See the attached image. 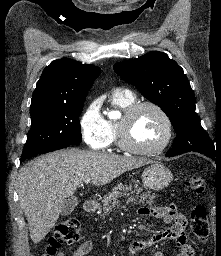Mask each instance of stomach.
Here are the masks:
<instances>
[{"mask_svg": "<svg viewBox=\"0 0 221 256\" xmlns=\"http://www.w3.org/2000/svg\"><path fill=\"white\" fill-rule=\"evenodd\" d=\"M173 179L169 168L154 162L142 172V181L145 187L153 190H162L167 187Z\"/></svg>", "mask_w": 221, "mask_h": 256, "instance_id": "stomach-1", "label": "stomach"}]
</instances>
